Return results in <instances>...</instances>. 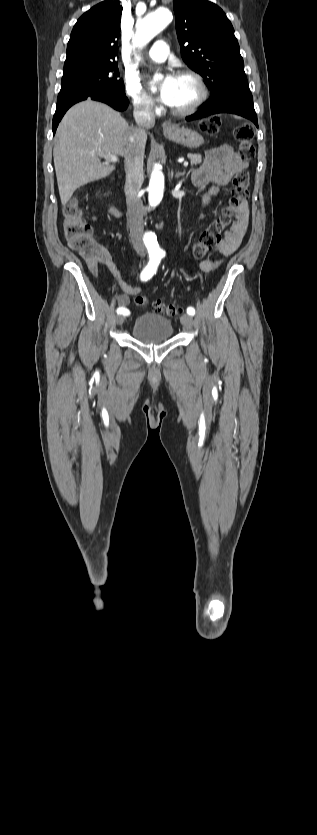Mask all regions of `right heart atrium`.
<instances>
[{
	"instance_id": "1",
	"label": "right heart atrium",
	"mask_w": 317,
	"mask_h": 835,
	"mask_svg": "<svg viewBox=\"0 0 317 835\" xmlns=\"http://www.w3.org/2000/svg\"><path fill=\"white\" fill-rule=\"evenodd\" d=\"M124 91L130 99L134 109L144 115L156 112L157 107L153 98L142 88L139 81L130 75L124 78Z\"/></svg>"
}]
</instances>
